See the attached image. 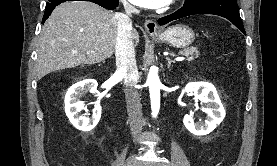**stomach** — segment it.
I'll return each instance as SVG.
<instances>
[{
    "instance_id": "1",
    "label": "stomach",
    "mask_w": 277,
    "mask_h": 166,
    "mask_svg": "<svg viewBox=\"0 0 277 166\" xmlns=\"http://www.w3.org/2000/svg\"><path fill=\"white\" fill-rule=\"evenodd\" d=\"M153 37L161 43H167L176 48H185L193 43L195 34L186 25H175L160 33L153 34Z\"/></svg>"
}]
</instances>
